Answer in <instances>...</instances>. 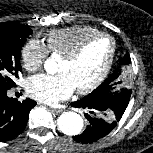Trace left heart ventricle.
I'll return each instance as SVG.
<instances>
[{
	"instance_id": "left-heart-ventricle-1",
	"label": "left heart ventricle",
	"mask_w": 153,
	"mask_h": 153,
	"mask_svg": "<svg viewBox=\"0 0 153 153\" xmlns=\"http://www.w3.org/2000/svg\"><path fill=\"white\" fill-rule=\"evenodd\" d=\"M111 51V43L106 38L91 42L73 62L63 58L57 71L67 75L74 89L82 88L93 82L103 70Z\"/></svg>"
}]
</instances>
